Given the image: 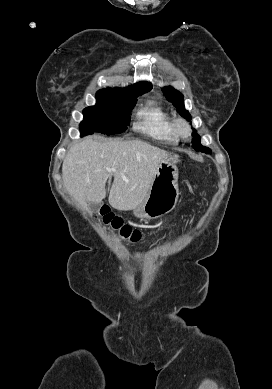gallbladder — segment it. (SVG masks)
I'll return each mask as SVG.
<instances>
[{
	"label": "gallbladder",
	"mask_w": 272,
	"mask_h": 389,
	"mask_svg": "<svg viewBox=\"0 0 272 389\" xmlns=\"http://www.w3.org/2000/svg\"><path fill=\"white\" fill-rule=\"evenodd\" d=\"M89 205H90V208L92 209V211H94V212H98L99 209L101 208V203L90 202Z\"/></svg>",
	"instance_id": "obj_1"
}]
</instances>
